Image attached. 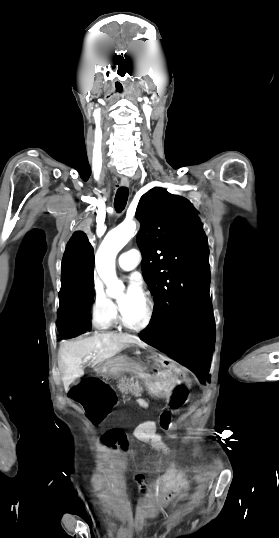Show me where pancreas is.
Here are the masks:
<instances>
[{
  "label": "pancreas",
  "mask_w": 279,
  "mask_h": 538,
  "mask_svg": "<svg viewBox=\"0 0 279 538\" xmlns=\"http://www.w3.org/2000/svg\"><path fill=\"white\" fill-rule=\"evenodd\" d=\"M139 384L140 381H137V384H134V382H131L126 376H122L117 382L120 392H124V394H126V392H132V396H137L139 395V392H142V387H139Z\"/></svg>",
  "instance_id": "cf45deb5"
}]
</instances>
